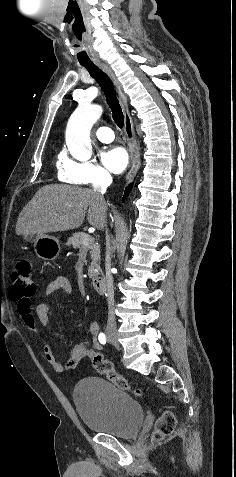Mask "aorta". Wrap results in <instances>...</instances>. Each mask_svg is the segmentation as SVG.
I'll use <instances>...</instances> for the list:
<instances>
[{"label": "aorta", "instance_id": "1", "mask_svg": "<svg viewBox=\"0 0 236 477\" xmlns=\"http://www.w3.org/2000/svg\"><path fill=\"white\" fill-rule=\"evenodd\" d=\"M102 111L99 105H79L71 115L66 129V144L73 156L82 160L91 157L90 130Z\"/></svg>", "mask_w": 236, "mask_h": 477}]
</instances>
